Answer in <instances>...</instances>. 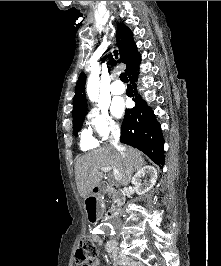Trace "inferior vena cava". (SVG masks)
<instances>
[{"instance_id": "1", "label": "inferior vena cava", "mask_w": 221, "mask_h": 266, "mask_svg": "<svg viewBox=\"0 0 221 266\" xmlns=\"http://www.w3.org/2000/svg\"><path fill=\"white\" fill-rule=\"evenodd\" d=\"M120 139V131L119 129H113L112 130V136L110 138V143L116 148L117 151H119L121 154H124V147L118 144V141ZM121 225V220L120 218H115L113 220V226L115 228L119 227Z\"/></svg>"}]
</instances>
